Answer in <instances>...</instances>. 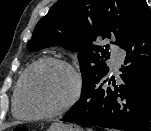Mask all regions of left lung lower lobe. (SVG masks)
<instances>
[{"mask_svg": "<svg viewBox=\"0 0 151 131\" xmlns=\"http://www.w3.org/2000/svg\"><path fill=\"white\" fill-rule=\"evenodd\" d=\"M122 49L127 52L124 64H130L122 65L120 81L116 83L106 75L96 79L62 121L124 131H150L151 11L146 2L141 4Z\"/></svg>", "mask_w": 151, "mask_h": 131, "instance_id": "0a47b994", "label": "left lung lower lobe"}]
</instances>
